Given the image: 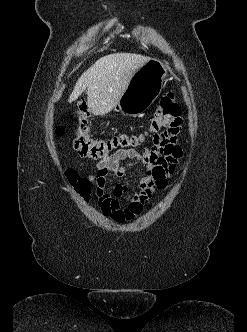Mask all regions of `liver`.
<instances>
[{
	"label": "liver",
	"instance_id": "1",
	"mask_svg": "<svg viewBox=\"0 0 247 332\" xmlns=\"http://www.w3.org/2000/svg\"><path fill=\"white\" fill-rule=\"evenodd\" d=\"M149 60L133 53H114L98 59L78 79L69 101L87 88V104L96 116L109 113L119 102L135 71Z\"/></svg>",
	"mask_w": 247,
	"mask_h": 332
}]
</instances>
